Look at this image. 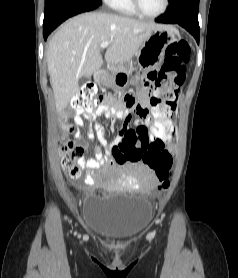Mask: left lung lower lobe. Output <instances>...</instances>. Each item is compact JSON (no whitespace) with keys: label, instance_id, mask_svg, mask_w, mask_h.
Returning <instances> with one entry per match:
<instances>
[{"label":"left lung lower lobe","instance_id":"obj_1","mask_svg":"<svg viewBox=\"0 0 238 278\" xmlns=\"http://www.w3.org/2000/svg\"><path fill=\"white\" fill-rule=\"evenodd\" d=\"M199 0H170L167 13L155 19L158 23L179 24L189 31L199 44Z\"/></svg>","mask_w":238,"mask_h":278}]
</instances>
